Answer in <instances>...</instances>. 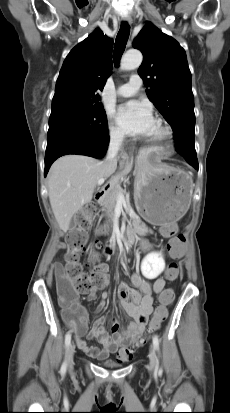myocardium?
<instances>
[{
  "mask_svg": "<svg viewBox=\"0 0 230 413\" xmlns=\"http://www.w3.org/2000/svg\"><path fill=\"white\" fill-rule=\"evenodd\" d=\"M156 133L148 137L147 142L150 144L158 145L166 141L170 135L169 128L160 120L155 121Z\"/></svg>",
  "mask_w": 230,
  "mask_h": 413,
  "instance_id": "obj_1",
  "label": "myocardium"
}]
</instances>
